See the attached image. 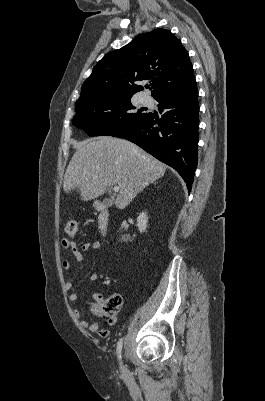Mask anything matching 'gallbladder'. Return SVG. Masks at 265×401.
<instances>
[{"label":"gallbladder","mask_w":265,"mask_h":401,"mask_svg":"<svg viewBox=\"0 0 265 401\" xmlns=\"http://www.w3.org/2000/svg\"><path fill=\"white\" fill-rule=\"evenodd\" d=\"M103 205H107V207H111V205H113L112 198H103Z\"/></svg>","instance_id":"bac80fb5"}]
</instances>
